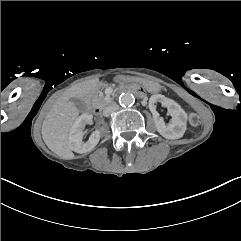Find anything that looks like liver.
<instances>
[{"label": "liver", "mask_w": 241, "mask_h": 241, "mask_svg": "<svg viewBox=\"0 0 241 241\" xmlns=\"http://www.w3.org/2000/svg\"><path fill=\"white\" fill-rule=\"evenodd\" d=\"M99 79H87L68 89L50 108L42 124V137L48 148L64 159H72L68 136L79 110L70 98L81 99L96 89Z\"/></svg>", "instance_id": "liver-1"}]
</instances>
